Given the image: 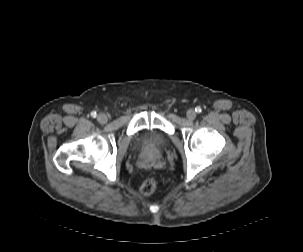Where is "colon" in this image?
I'll return each mask as SVG.
<instances>
[{"label":"colon","instance_id":"obj_1","mask_svg":"<svg viewBox=\"0 0 303 252\" xmlns=\"http://www.w3.org/2000/svg\"><path fill=\"white\" fill-rule=\"evenodd\" d=\"M157 187V179L154 176H148L141 184L140 191L143 195H151Z\"/></svg>","mask_w":303,"mask_h":252}]
</instances>
